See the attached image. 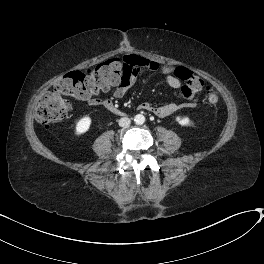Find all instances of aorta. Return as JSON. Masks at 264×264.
Here are the masks:
<instances>
[{"instance_id":"1","label":"aorta","mask_w":264,"mask_h":264,"mask_svg":"<svg viewBox=\"0 0 264 264\" xmlns=\"http://www.w3.org/2000/svg\"><path fill=\"white\" fill-rule=\"evenodd\" d=\"M134 122L138 125H141L145 122V117L144 115L142 114H137L135 117H134Z\"/></svg>"}]
</instances>
